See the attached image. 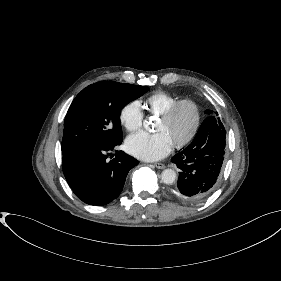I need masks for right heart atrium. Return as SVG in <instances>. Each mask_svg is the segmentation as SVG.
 <instances>
[{
    "mask_svg": "<svg viewBox=\"0 0 281 281\" xmlns=\"http://www.w3.org/2000/svg\"><path fill=\"white\" fill-rule=\"evenodd\" d=\"M119 121L126 130L131 132L142 126L143 112L138 101H130L120 109Z\"/></svg>",
    "mask_w": 281,
    "mask_h": 281,
    "instance_id": "obj_1",
    "label": "right heart atrium"
}]
</instances>
